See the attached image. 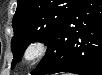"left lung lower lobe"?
I'll list each match as a JSON object with an SVG mask.
<instances>
[{
	"label": "left lung lower lobe",
	"instance_id": "obj_1",
	"mask_svg": "<svg viewBox=\"0 0 102 75\" xmlns=\"http://www.w3.org/2000/svg\"><path fill=\"white\" fill-rule=\"evenodd\" d=\"M47 44L32 75H102V0H81Z\"/></svg>",
	"mask_w": 102,
	"mask_h": 75
}]
</instances>
